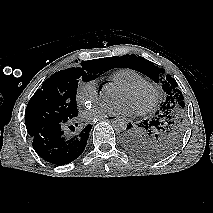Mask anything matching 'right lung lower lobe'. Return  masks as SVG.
<instances>
[{
    "mask_svg": "<svg viewBox=\"0 0 213 213\" xmlns=\"http://www.w3.org/2000/svg\"><path fill=\"white\" fill-rule=\"evenodd\" d=\"M70 120L51 123L31 135L34 150L45 161L55 165H66L84 151L92 125L69 134L64 131V127L71 122Z\"/></svg>",
    "mask_w": 213,
    "mask_h": 213,
    "instance_id": "right-lung-lower-lobe-1",
    "label": "right lung lower lobe"
}]
</instances>
